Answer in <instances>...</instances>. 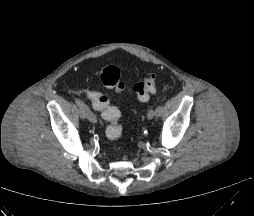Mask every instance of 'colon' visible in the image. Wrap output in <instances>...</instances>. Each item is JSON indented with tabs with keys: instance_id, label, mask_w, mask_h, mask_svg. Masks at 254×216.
Wrapping results in <instances>:
<instances>
[{
	"instance_id": "colon-1",
	"label": "colon",
	"mask_w": 254,
	"mask_h": 216,
	"mask_svg": "<svg viewBox=\"0 0 254 216\" xmlns=\"http://www.w3.org/2000/svg\"><path fill=\"white\" fill-rule=\"evenodd\" d=\"M100 81L106 88L113 89L117 93H128L136 96L140 101H147L156 91V76L149 73L143 80L132 85L126 86L120 79V71L117 67L110 65L105 67L100 73ZM88 96L93 101L95 108L101 111L103 120L108 125L106 136L113 141L122 136V126L119 124L120 111L117 107L110 104L107 96L99 91H89Z\"/></svg>"
}]
</instances>
